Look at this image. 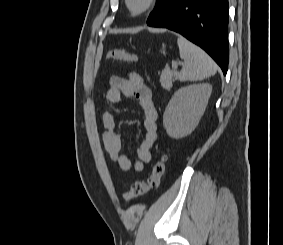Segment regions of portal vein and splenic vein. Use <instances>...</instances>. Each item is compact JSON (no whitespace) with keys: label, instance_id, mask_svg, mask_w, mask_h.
Listing matches in <instances>:
<instances>
[{"label":"portal vein and splenic vein","instance_id":"1","mask_svg":"<svg viewBox=\"0 0 283 245\" xmlns=\"http://www.w3.org/2000/svg\"><path fill=\"white\" fill-rule=\"evenodd\" d=\"M179 64H181V63H179ZM177 67H178V63L172 62V69H177Z\"/></svg>","mask_w":283,"mask_h":245}]
</instances>
